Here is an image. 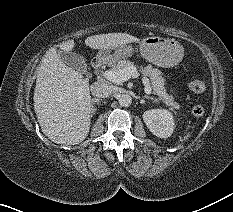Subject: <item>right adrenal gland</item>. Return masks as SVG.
Wrapping results in <instances>:
<instances>
[{
  "instance_id": "2a0ac1e0",
  "label": "right adrenal gland",
  "mask_w": 233,
  "mask_h": 212,
  "mask_svg": "<svg viewBox=\"0 0 233 212\" xmlns=\"http://www.w3.org/2000/svg\"><path fill=\"white\" fill-rule=\"evenodd\" d=\"M100 101H102L101 98H93V99L91 100V107H92L91 116L94 115L95 112H96V110H97V108L95 107L94 104L96 103V104L98 105Z\"/></svg>"
}]
</instances>
